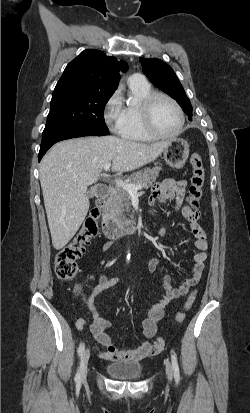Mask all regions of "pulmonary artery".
I'll list each match as a JSON object with an SVG mask.
<instances>
[{
  "label": "pulmonary artery",
  "mask_w": 250,
  "mask_h": 413,
  "mask_svg": "<svg viewBox=\"0 0 250 413\" xmlns=\"http://www.w3.org/2000/svg\"><path fill=\"white\" fill-rule=\"evenodd\" d=\"M131 84H143L146 82L145 78L141 74H133L128 79Z\"/></svg>",
  "instance_id": "1"
}]
</instances>
